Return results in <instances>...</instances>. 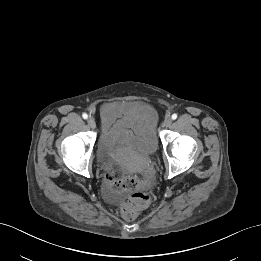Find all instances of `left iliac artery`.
Wrapping results in <instances>:
<instances>
[{
  "label": "left iliac artery",
  "instance_id": "44dca946",
  "mask_svg": "<svg viewBox=\"0 0 261 261\" xmlns=\"http://www.w3.org/2000/svg\"><path fill=\"white\" fill-rule=\"evenodd\" d=\"M172 119H173V120L177 119V114L174 113V114L172 115Z\"/></svg>",
  "mask_w": 261,
  "mask_h": 261
}]
</instances>
